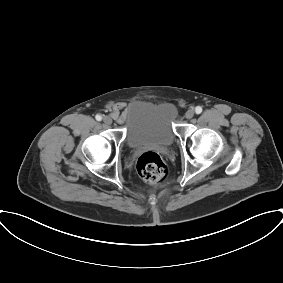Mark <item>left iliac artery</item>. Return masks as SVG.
Returning <instances> with one entry per match:
<instances>
[{
	"mask_svg": "<svg viewBox=\"0 0 283 283\" xmlns=\"http://www.w3.org/2000/svg\"><path fill=\"white\" fill-rule=\"evenodd\" d=\"M195 112H196V114H200L202 112V108L200 106H197L195 108Z\"/></svg>",
	"mask_w": 283,
	"mask_h": 283,
	"instance_id": "left-iliac-artery-1",
	"label": "left iliac artery"
}]
</instances>
